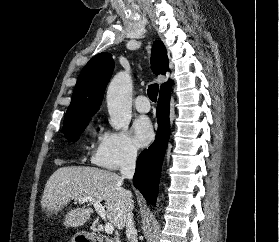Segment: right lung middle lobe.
Here are the masks:
<instances>
[{"label": "right lung middle lobe", "mask_w": 279, "mask_h": 242, "mask_svg": "<svg viewBox=\"0 0 279 242\" xmlns=\"http://www.w3.org/2000/svg\"><path fill=\"white\" fill-rule=\"evenodd\" d=\"M90 118H87L79 123L64 125L62 132L67 139L76 140L78 136L83 132L88 124Z\"/></svg>", "instance_id": "dd1d6c3e"}]
</instances>
